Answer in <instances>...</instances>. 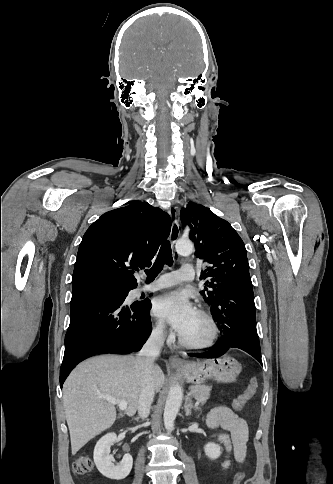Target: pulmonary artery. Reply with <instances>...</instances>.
Instances as JSON below:
<instances>
[{"mask_svg":"<svg viewBox=\"0 0 333 484\" xmlns=\"http://www.w3.org/2000/svg\"><path fill=\"white\" fill-rule=\"evenodd\" d=\"M195 271L191 264H183L177 271L162 274L157 280L138 287V293H150L160 289L175 286L194 279Z\"/></svg>","mask_w":333,"mask_h":484,"instance_id":"e3ab8cb5","label":"pulmonary artery"}]
</instances>
